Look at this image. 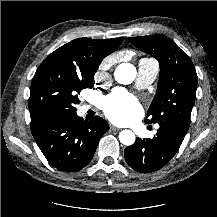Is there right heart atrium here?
Returning a JSON list of instances; mask_svg holds the SVG:
<instances>
[{"mask_svg": "<svg viewBox=\"0 0 217 217\" xmlns=\"http://www.w3.org/2000/svg\"><path fill=\"white\" fill-rule=\"evenodd\" d=\"M112 61H113L112 57H106L103 59V61L101 62L100 66H99V70L97 73L98 78H103V77L107 76L108 70L111 67Z\"/></svg>", "mask_w": 217, "mask_h": 217, "instance_id": "right-heart-atrium-1", "label": "right heart atrium"}]
</instances>
